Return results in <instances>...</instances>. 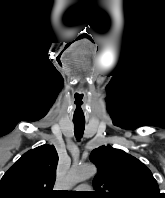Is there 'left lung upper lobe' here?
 <instances>
[{
    "instance_id": "1",
    "label": "left lung upper lobe",
    "mask_w": 165,
    "mask_h": 198,
    "mask_svg": "<svg viewBox=\"0 0 165 198\" xmlns=\"http://www.w3.org/2000/svg\"><path fill=\"white\" fill-rule=\"evenodd\" d=\"M97 166L93 180L99 198H162L151 171L137 158L110 145L91 152Z\"/></svg>"
}]
</instances>
